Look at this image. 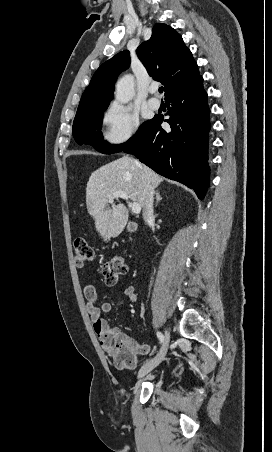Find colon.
Masks as SVG:
<instances>
[{
  "instance_id": "1",
  "label": "colon",
  "mask_w": 272,
  "mask_h": 452,
  "mask_svg": "<svg viewBox=\"0 0 272 452\" xmlns=\"http://www.w3.org/2000/svg\"><path fill=\"white\" fill-rule=\"evenodd\" d=\"M73 256L76 267L81 268L94 260V251L86 240L77 239L73 246ZM127 271V259L122 254L111 256L101 268L103 280L109 286L115 285L118 277ZM106 350L117 368L133 369L136 366V344L125 335L107 338Z\"/></svg>"
}]
</instances>
